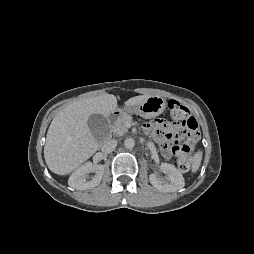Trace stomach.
I'll list each match as a JSON object with an SVG mask.
<instances>
[{"instance_id":"0dacf381","label":"stomach","mask_w":254,"mask_h":254,"mask_svg":"<svg viewBox=\"0 0 254 254\" xmlns=\"http://www.w3.org/2000/svg\"><path fill=\"white\" fill-rule=\"evenodd\" d=\"M166 100L160 96H150L139 105L127 109L128 112L138 114L144 118H154L163 113Z\"/></svg>"}]
</instances>
